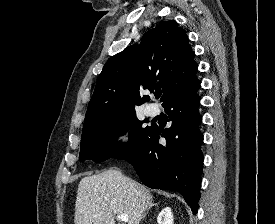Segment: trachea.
I'll return each mask as SVG.
<instances>
[{"mask_svg": "<svg viewBox=\"0 0 275 224\" xmlns=\"http://www.w3.org/2000/svg\"><path fill=\"white\" fill-rule=\"evenodd\" d=\"M161 96V93H156L155 97L158 99Z\"/></svg>", "mask_w": 275, "mask_h": 224, "instance_id": "obj_1", "label": "trachea"}]
</instances>
